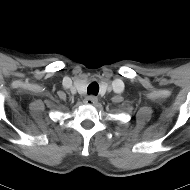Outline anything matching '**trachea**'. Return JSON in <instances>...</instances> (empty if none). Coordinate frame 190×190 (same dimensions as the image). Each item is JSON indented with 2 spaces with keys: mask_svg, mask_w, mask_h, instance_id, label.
<instances>
[{
  "mask_svg": "<svg viewBox=\"0 0 190 190\" xmlns=\"http://www.w3.org/2000/svg\"><path fill=\"white\" fill-rule=\"evenodd\" d=\"M98 92H99V85H98V83H96V82H92V83L88 86V88H87V93H88L89 95H90V94H92V95H97Z\"/></svg>",
  "mask_w": 190,
  "mask_h": 190,
  "instance_id": "3493384b",
  "label": "trachea"
}]
</instances>
